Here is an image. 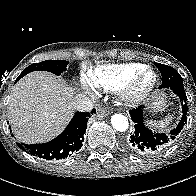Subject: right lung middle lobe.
Returning <instances> with one entry per match:
<instances>
[{
  "label": "right lung middle lobe",
  "instance_id": "1",
  "mask_svg": "<svg viewBox=\"0 0 196 196\" xmlns=\"http://www.w3.org/2000/svg\"><path fill=\"white\" fill-rule=\"evenodd\" d=\"M67 64L68 61L66 60H46L40 63H34L25 68L23 72L19 75V77L22 78L23 76L32 71L39 70L49 71L56 75H60L63 71L66 70Z\"/></svg>",
  "mask_w": 196,
  "mask_h": 196
}]
</instances>
